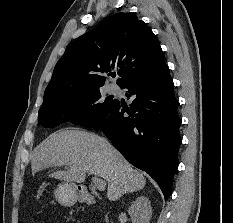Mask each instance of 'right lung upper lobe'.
Masks as SVG:
<instances>
[{
  "mask_svg": "<svg viewBox=\"0 0 233 223\" xmlns=\"http://www.w3.org/2000/svg\"><path fill=\"white\" fill-rule=\"evenodd\" d=\"M165 61L150 27L131 13H116L71 42L57 62L44 93L43 105L100 88L117 68L122 86Z\"/></svg>",
  "mask_w": 233,
  "mask_h": 223,
  "instance_id": "right-lung-upper-lobe-1",
  "label": "right lung upper lobe"
}]
</instances>
